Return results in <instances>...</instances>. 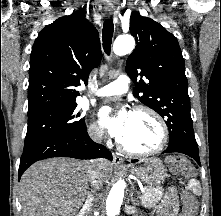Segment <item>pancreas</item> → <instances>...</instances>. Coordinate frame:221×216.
Here are the masks:
<instances>
[{"label":"pancreas","mask_w":221,"mask_h":216,"mask_svg":"<svg viewBox=\"0 0 221 216\" xmlns=\"http://www.w3.org/2000/svg\"><path fill=\"white\" fill-rule=\"evenodd\" d=\"M146 195H141V205L146 208H151L158 203L163 196L162 187H145Z\"/></svg>","instance_id":"obj_1"}]
</instances>
